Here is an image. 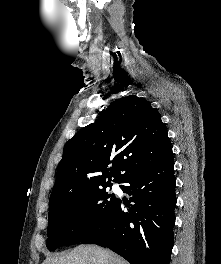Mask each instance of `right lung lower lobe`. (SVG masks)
I'll return each instance as SVG.
<instances>
[{
  "label": "right lung lower lobe",
  "mask_w": 221,
  "mask_h": 264,
  "mask_svg": "<svg viewBox=\"0 0 221 264\" xmlns=\"http://www.w3.org/2000/svg\"><path fill=\"white\" fill-rule=\"evenodd\" d=\"M121 183H128L120 187L132 196L131 204L118 199L80 243L108 247L130 264H169L176 205L173 155Z\"/></svg>",
  "instance_id": "obj_1"
}]
</instances>
